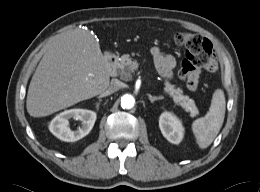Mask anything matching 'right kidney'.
I'll return each mask as SVG.
<instances>
[{
  "label": "right kidney",
  "mask_w": 260,
  "mask_h": 192,
  "mask_svg": "<svg viewBox=\"0 0 260 192\" xmlns=\"http://www.w3.org/2000/svg\"><path fill=\"white\" fill-rule=\"evenodd\" d=\"M96 113L87 109H70L58 114L50 123L49 130L60 140L66 142L77 141L91 131L96 121ZM82 121V126L77 130L70 129L69 120Z\"/></svg>",
  "instance_id": "right-kidney-1"
}]
</instances>
